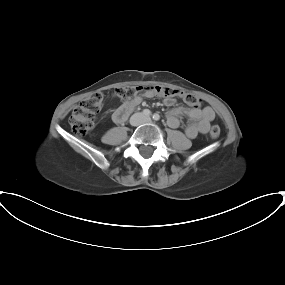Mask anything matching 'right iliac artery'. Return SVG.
Instances as JSON below:
<instances>
[{
    "label": "right iliac artery",
    "mask_w": 285,
    "mask_h": 285,
    "mask_svg": "<svg viewBox=\"0 0 285 285\" xmlns=\"http://www.w3.org/2000/svg\"><path fill=\"white\" fill-rule=\"evenodd\" d=\"M142 113L144 116H150L151 115V111L149 109H144Z\"/></svg>",
    "instance_id": "82829eb1"
}]
</instances>
